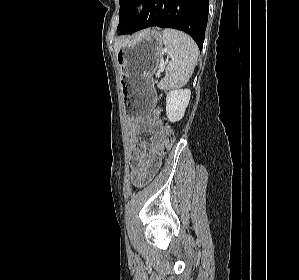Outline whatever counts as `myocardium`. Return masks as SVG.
Instances as JSON below:
<instances>
[{"mask_svg": "<svg viewBox=\"0 0 299 280\" xmlns=\"http://www.w3.org/2000/svg\"><path fill=\"white\" fill-rule=\"evenodd\" d=\"M140 7H141L140 5H136V7H135V8H136V9H139Z\"/></svg>", "mask_w": 299, "mask_h": 280, "instance_id": "obj_1", "label": "myocardium"}]
</instances>
